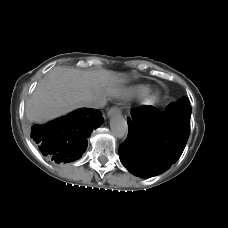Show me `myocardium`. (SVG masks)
Returning <instances> with one entry per match:
<instances>
[{
    "label": "myocardium",
    "instance_id": "myocardium-1",
    "mask_svg": "<svg viewBox=\"0 0 228 228\" xmlns=\"http://www.w3.org/2000/svg\"><path fill=\"white\" fill-rule=\"evenodd\" d=\"M158 99V95L156 93H147L143 96L142 101L146 105L154 104Z\"/></svg>",
    "mask_w": 228,
    "mask_h": 228
}]
</instances>
